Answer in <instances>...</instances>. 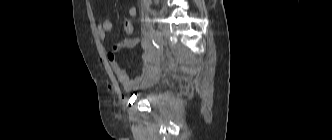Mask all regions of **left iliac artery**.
I'll use <instances>...</instances> for the list:
<instances>
[{
	"mask_svg": "<svg viewBox=\"0 0 332 140\" xmlns=\"http://www.w3.org/2000/svg\"><path fill=\"white\" fill-rule=\"evenodd\" d=\"M145 23H146V27L148 29V32L151 36H153L155 34V29H154V24H153V20L149 17L145 18Z\"/></svg>",
	"mask_w": 332,
	"mask_h": 140,
	"instance_id": "obj_1",
	"label": "left iliac artery"
}]
</instances>
